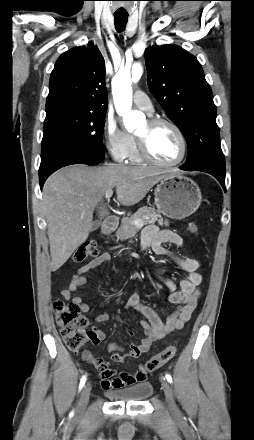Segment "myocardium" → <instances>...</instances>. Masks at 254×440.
Wrapping results in <instances>:
<instances>
[{"label":"myocardium","instance_id":"myocardium-1","mask_svg":"<svg viewBox=\"0 0 254 440\" xmlns=\"http://www.w3.org/2000/svg\"><path fill=\"white\" fill-rule=\"evenodd\" d=\"M147 122L151 128H155L160 125H167V126L171 127L177 133V135L181 141V154H180V157L174 162H170V163L162 162V161L158 160L157 158H155L154 155L151 153L150 148H149L148 139L146 137L136 135L137 147H138V151H139V154L142 157V159L150 164H153V165H156L159 167H166V168L175 167V166L181 164L184 161V159L186 158L187 151H188L187 139H186L183 131L181 130V128L172 120L167 119V118H163V117L150 118Z\"/></svg>","mask_w":254,"mask_h":440}]
</instances>
